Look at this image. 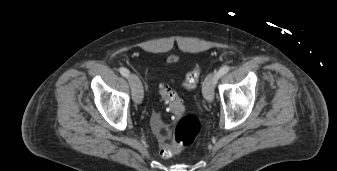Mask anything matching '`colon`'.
Wrapping results in <instances>:
<instances>
[{"instance_id": "5ec220e1", "label": "colon", "mask_w": 337, "mask_h": 171, "mask_svg": "<svg viewBox=\"0 0 337 171\" xmlns=\"http://www.w3.org/2000/svg\"><path fill=\"white\" fill-rule=\"evenodd\" d=\"M201 69L195 67L187 73L182 86L193 89L199 81ZM159 92L163 100L168 104L170 111L177 118L172 138L169 137L168 128L165 123L155 119L153 129L160 143V154L164 158H170L181 149L191 145L201 131V122L193 114L185 113L182 99L167 85L161 84Z\"/></svg>"}]
</instances>
